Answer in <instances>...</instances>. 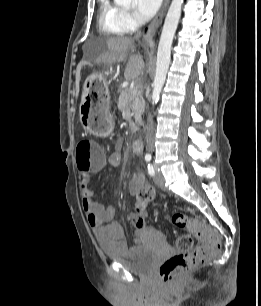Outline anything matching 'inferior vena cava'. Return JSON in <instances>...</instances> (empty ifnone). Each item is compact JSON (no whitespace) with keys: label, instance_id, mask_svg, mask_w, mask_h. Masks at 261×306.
Returning a JSON list of instances; mask_svg holds the SVG:
<instances>
[{"label":"inferior vena cava","instance_id":"1","mask_svg":"<svg viewBox=\"0 0 261 306\" xmlns=\"http://www.w3.org/2000/svg\"><path fill=\"white\" fill-rule=\"evenodd\" d=\"M134 37L136 39L140 38L141 31H138ZM146 129H147V133H146L147 150L149 152H153L154 150V122H153V116L151 114L148 115Z\"/></svg>","mask_w":261,"mask_h":306}]
</instances>
